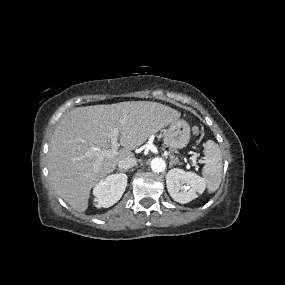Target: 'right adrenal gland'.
I'll return each mask as SVG.
<instances>
[{
    "label": "right adrenal gland",
    "instance_id": "1",
    "mask_svg": "<svg viewBox=\"0 0 285 285\" xmlns=\"http://www.w3.org/2000/svg\"><path fill=\"white\" fill-rule=\"evenodd\" d=\"M117 171H119L120 173L126 172L125 170H120V169H117Z\"/></svg>",
    "mask_w": 285,
    "mask_h": 285
}]
</instances>
